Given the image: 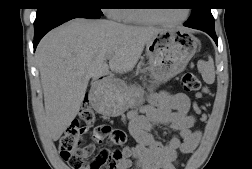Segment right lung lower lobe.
Wrapping results in <instances>:
<instances>
[{
	"mask_svg": "<svg viewBox=\"0 0 252 169\" xmlns=\"http://www.w3.org/2000/svg\"><path fill=\"white\" fill-rule=\"evenodd\" d=\"M101 16L76 9L59 10L47 13L43 16L36 17L34 22V50L40 39L51 29L63 24L74 18L98 19Z\"/></svg>",
	"mask_w": 252,
	"mask_h": 169,
	"instance_id": "right-lung-lower-lobe-1",
	"label": "right lung lower lobe"
}]
</instances>
